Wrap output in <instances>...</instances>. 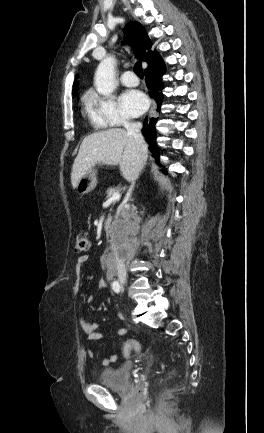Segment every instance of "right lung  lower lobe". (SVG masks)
Returning a JSON list of instances; mask_svg holds the SVG:
<instances>
[{"mask_svg":"<svg viewBox=\"0 0 264 433\" xmlns=\"http://www.w3.org/2000/svg\"><path fill=\"white\" fill-rule=\"evenodd\" d=\"M164 73H165V65L163 61H161L160 63L154 66H149L145 70L146 84L147 87L151 90L149 94L151 97H154L158 103L157 111H160V106L162 104V98H163L162 76ZM157 120L158 118H151L150 121L148 122L146 119L144 121L142 133L146 137L147 142L150 144V149L154 153V156L156 158H159V150L156 144V129H155V124Z\"/></svg>","mask_w":264,"mask_h":433,"instance_id":"1","label":"right lung lower lobe"}]
</instances>
